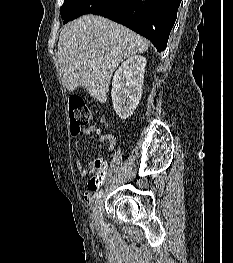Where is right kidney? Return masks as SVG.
Wrapping results in <instances>:
<instances>
[{
	"instance_id": "1",
	"label": "right kidney",
	"mask_w": 233,
	"mask_h": 263,
	"mask_svg": "<svg viewBox=\"0 0 233 263\" xmlns=\"http://www.w3.org/2000/svg\"><path fill=\"white\" fill-rule=\"evenodd\" d=\"M145 66L146 58L135 55L125 60L113 76L111 97L121 119L130 117L139 104Z\"/></svg>"
}]
</instances>
